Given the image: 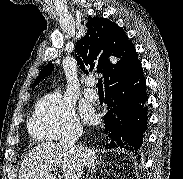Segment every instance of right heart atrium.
<instances>
[{
  "instance_id": "1",
  "label": "right heart atrium",
  "mask_w": 183,
  "mask_h": 179,
  "mask_svg": "<svg viewBox=\"0 0 183 179\" xmlns=\"http://www.w3.org/2000/svg\"><path fill=\"white\" fill-rule=\"evenodd\" d=\"M73 103L58 92L44 96L31 120L32 133L45 140H58L81 131Z\"/></svg>"
}]
</instances>
